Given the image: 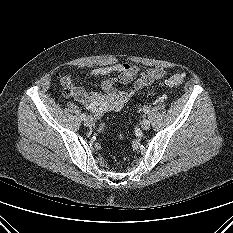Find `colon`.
Returning <instances> with one entry per match:
<instances>
[{"label": "colon", "mask_w": 233, "mask_h": 233, "mask_svg": "<svg viewBox=\"0 0 233 233\" xmlns=\"http://www.w3.org/2000/svg\"><path fill=\"white\" fill-rule=\"evenodd\" d=\"M184 81V76L182 74H175L169 77L165 82L164 85L168 87H177L181 85ZM68 91V90H67ZM106 129L105 125L100 126V131H104Z\"/></svg>", "instance_id": "colon-1"}]
</instances>
